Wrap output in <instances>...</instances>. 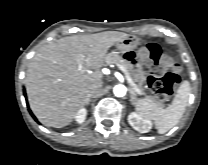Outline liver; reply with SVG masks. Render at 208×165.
I'll list each match as a JSON object with an SVG mask.
<instances>
[{"instance_id":"obj_1","label":"liver","mask_w":208,"mask_h":165,"mask_svg":"<svg viewBox=\"0 0 208 165\" xmlns=\"http://www.w3.org/2000/svg\"><path fill=\"white\" fill-rule=\"evenodd\" d=\"M128 37L117 31L74 35L42 48L25 79L30 108L46 126L68 125L85 105L89 86L102 82L107 51Z\"/></svg>"}]
</instances>
